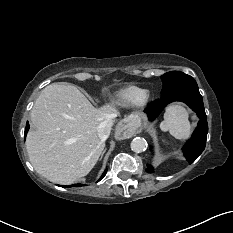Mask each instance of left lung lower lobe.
<instances>
[{"label": "left lung lower lobe", "instance_id": "1", "mask_svg": "<svg viewBox=\"0 0 233 233\" xmlns=\"http://www.w3.org/2000/svg\"><path fill=\"white\" fill-rule=\"evenodd\" d=\"M182 101L186 103L193 111L196 112L200 118L198 126L194 131L191 139L183 147L184 156L191 164L196 158L203 152L206 145V138L208 133L207 117L202 101V96L199 92L197 85H187L174 89L170 93L161 97L160 100L151 104L145 109L150 120H154L155 117L163 110V108L173 102ZM147 172H154L152 166L147 165Z\"/></svg>", "mask_w": 233, "mask_h": 233}]
</instances>
